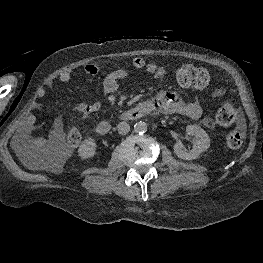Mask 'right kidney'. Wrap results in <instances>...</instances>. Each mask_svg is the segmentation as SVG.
Listing matches in <instances>:
<instances>
[{"instance_id":"1","label":"right kidney","mask_w":263,"mask_h":263,"mask_svg":"<svg viewBox=\"0 0 263 263\" xmlns=\"http://www.w3.org/2000/svg\"><path fill=\"white\" fill-rule=\"evenodd\" d=\"M95 153L96 142L93 138L85 139L78 149V154L82 160L93 157Z\"/></svg>"}]
</instances>
